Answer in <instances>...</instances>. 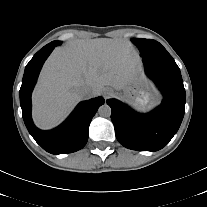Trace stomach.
I'll return each instance as SVG.
<instances>
[{
  "mask_svg": "<svg viewBox=\"0 0 207 207\" xmlns=\"http://www.w3.org/2000/svg\"><path fill=\"white\" fill-rule=\"evenodd\" d=\"M135 75L126 88L123 90L124 94H127L128 97L132 98L135 105L140 109H146L153 106L157 100L158 96L154 93L146 92L142 89H134L132 84L136 85ZM134 95V96H132Z\"/></svg>",
  "mask_w": 207,
  "mask_h": 207,
  "instance_id": "0dacf381",
  "label": "stomach"
}]
</instances>
